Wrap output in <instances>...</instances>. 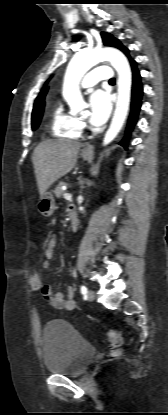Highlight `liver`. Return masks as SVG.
Instances as JSON below:
<instances>
[{
  "instance_id": "obj_1",
  "label": "liver",
  "mask_w": 168,
  "mask_h": 415,
  "mask_svg": "<svg viewBox=\"0 0 168 415\" xmlns=\"http://www.w3.org/2000/svg\"><path fill=\"white\" fill-rule=\"evenodd\" d=\"M81 146L76 141L58 139L43 141L35 148L32 162L40 196L75 167Z\"/></svg>"
}]
</instances>
